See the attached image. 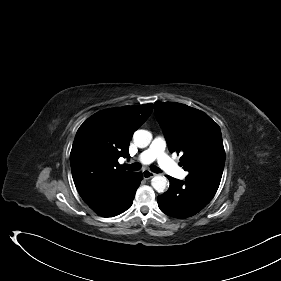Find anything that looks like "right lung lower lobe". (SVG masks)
<instances>
[{"label": "right lung lower lobe", "instance_id": "right-lung-lower-lobe-1", "mask_svg": "<svg viewBox=\"0 0 281 281\" xmlns=\"http://www.w3.org/2000/svg\"><path fill=\"white\" fill-rule=\"evenodd\" d=\"M143 179L142 173H135L132 179V182L129 184L126 192L121 198L120 202L112 209L104 210L101 212H97L100 216L103 217H113L121 214L122 212L129 209L132 205L135 192L140 185L141 180Z\"/></svg>", "mask_w": 281, "mask_h": 281}]
</instances>
